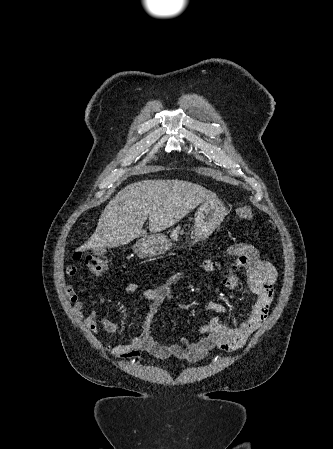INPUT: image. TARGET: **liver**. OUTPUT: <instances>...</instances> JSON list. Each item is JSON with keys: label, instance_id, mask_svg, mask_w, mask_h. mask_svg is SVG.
Masks as SVG:
<instances>
[{"label": "liver", "instance_id": "1", "mask_svg": "<svg viewBox=\"0 0 333 449\" xmlns=\"http://www.w3.org/2000/svg\"><path fill=\"white\" fill-rule=\"evenodd\" d=\"M212 191L182 180H144L122 189L103 210L95 232L78 251L115 248L146 234L149 218L155 234L185 217L205 200H215Z\"/></svg>", "mask_w": 333, "mask_h": 449}]
</instances>
